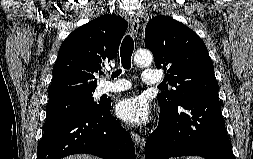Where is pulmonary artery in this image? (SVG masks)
I'll use <instances>...</instances> for the list:
<instances>
[{"label":"pulmonary artery","instance_id":"1","mask_svg":"<svg viewBox=\"0 0 253 159\" xmlns=\"http://www.w3.org/2000/svg\"><path fill=\"white\" fill-rule=\"evenodd\" d=\"M163 74L158 71L144 70L142 73V81L148 86H156L161 83ZM131 88V83L125 80H119L117 82H103L99 85L100 94H108L115 92H122Z\"/></svg>","mask_w":253,"mask_h":159}]
</instances>
